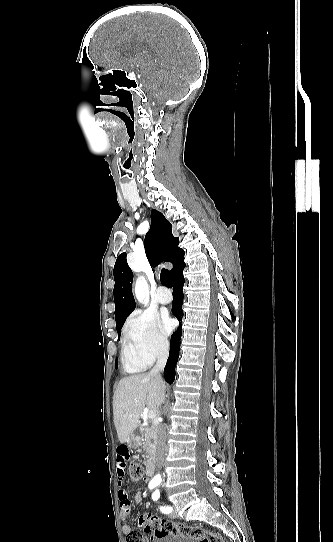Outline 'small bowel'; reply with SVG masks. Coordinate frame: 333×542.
<instances>
[{
  "instance_id": "small-bowel-1",
  "label": "small bowel",
  "mask_w": 333,
  "mask_h": 542,
  "mask_svg": "<svg viewBox=\"0 0 333 542\" xmlns=\"http://www.w3.org/2000/svg\"><path fill=\"white\" fill-rule=\"evenodd\" d=\"M129 459V449L125 445H120L117 449V460H116V470H117V496L119 501V509L121 517L123 519L127 518L131 513V503L128 497V491L125 485V473L126 465ZM142 485H147L148 478L143 476L141 478ZM141 500V494L137 493L135 495V501L139 503ZM133 531V528L129 525L123 526V532L125 535H129Z\"/></svg>"
}]
</instances>
